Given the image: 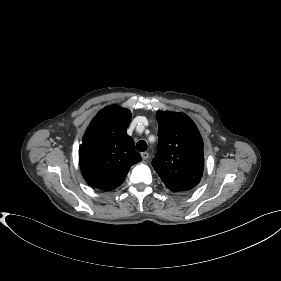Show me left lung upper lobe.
Segmentation results:
<instances>
[{
  "mask_svg": "<svg viewBox=\"0 0 281 281\" xmlns=\"http://www.w3.org/2000/svg\"><path fill=\"white\" fill-rule=\"evenodd\" d=\"M158 153L153 168L165 186L178 193L196 187L203 175V141L194 122L183 113L159 111Z\"/></svg>",
  "mask_w": 281,
  "mask_h": 281,
  "instance_id": "5c2ea615",
  "label": "left lung upper lobe"
}]
</instances>
